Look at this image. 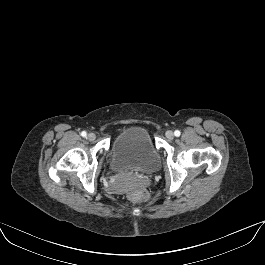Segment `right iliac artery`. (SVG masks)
Instances as JSON below:
<instances>
[{"label":"right iliac artery","instance_id":"82829eb1","mask_svg":"<svg viewBox=\"0 0 265 265\" xmlns=\"http://www.w3.org/2000/svg\"><path fill=\"white\" fill-rule=\"evenodd\" d=\"M86 135H87V133H86L85 131H82V132H81V136H82V137H86Z\"/></svg>","mask_w":265,"mask_h":265}]
</instances>
